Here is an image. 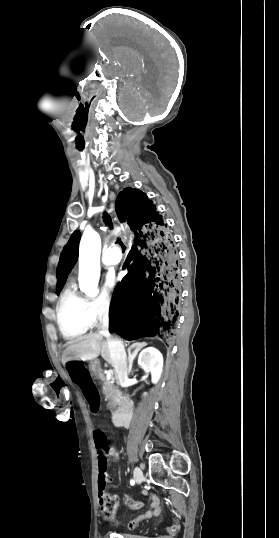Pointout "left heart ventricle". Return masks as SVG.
<instances>
[{
  "label": "left heart ventricle",
  "mask_w": 279,
  "mask_h": 538,
  "mask_svg": "<svg viewBox=\"0 0 279 538\" xmlns=\"http://www.w3.org/2000/svg\"><path fill=\"white\" fill-rule=\"evenodd\" d=\"M81 209H83V207H68V210H70V211H71V210L79 211V210H81Z\"/></svg>",
  "instance_id": "1"
}]
</instances>
